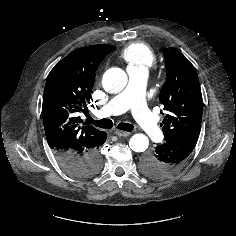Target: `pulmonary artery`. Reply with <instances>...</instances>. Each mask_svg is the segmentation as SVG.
<instances>
[{"mask_svg": "<svg viewBox=\"0 0 236 236\" xmlns=\"http://www.w3.org/2000/svg\"><path fill=\"white\" fill-rule=\"evenodd\" d=\"M129 81L126 88L99 110L101 117L119 115L131 110L135 120L145 133L157 141H163L164 136L157 124L154 114L149 110L145 98V86L148 70L139 68L127 69Z\"/></svg>", "mask_w": 236, "mask_h": 236, "instance_id": "pulmonary-artery-1", "label": "pulmonary artery"}]
</instances>
